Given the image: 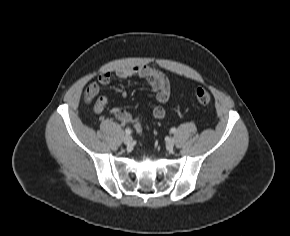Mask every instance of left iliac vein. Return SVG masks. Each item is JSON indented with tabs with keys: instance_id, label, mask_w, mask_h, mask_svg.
I'll return each instance as SVG.
<instances>
[{
	"instance_id": "1",
	"label": "left iliac vein",
	"mask_w": 290,
	"mask_h": 236,
	"mask_svg": "<svg viewBox=\"0 0 290 236\" xmlns=\"http://www.w3.org/2000/svg\"><path fill=\"white\" fill-rule=\"evenodd\" d=\"M174 145H175V139L174 138H169L166 141V147H167L168 150H172Z\"/></svg>"
}]
</instances>
